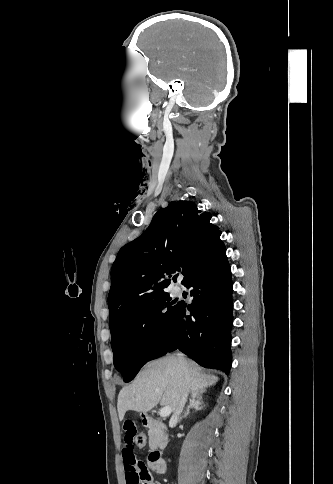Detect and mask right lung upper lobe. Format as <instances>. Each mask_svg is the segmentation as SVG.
Masks as SVG:
<instances>
[{
  "label": "right lung upper lobe",
  "instance_id": "1",
  "mask_svg": "<svg viewBox=\"0 0 333 484\" xmlns=\"http://www.w3.org/2000/svg\"><path fill=\"white\" fill-rule=\"evenodd\" d=\"M194 203L172 201L145 232L122 247L111 269L110 328L138 307L166 295L170 277L182 284L201 270L224 244L221 231ZM176 276L173 277V279Z\"/></svg>",
  "mask_w": 333,
  "mask_h": 484
}]
</instances>
